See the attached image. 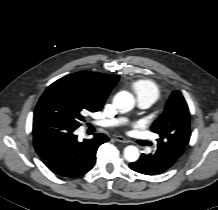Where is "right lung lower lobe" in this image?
<instances>
[{
  "instance_id": "obj_1",
  "label": "right lung lower lobe",
  "mask_w": 218,
  "mask_h": 210,
  "mask_svg": "<svg viewBox=\"0 0 218 210\" xmlns=\"http://www.w3.org/2000/svg\"><path fill=\"white\" fill-rule=\"evenodd\" d=\"M75 127L55 117H35L33 143L44 164L55 174L76 177L91 170L96 161L98 147L108 140L98 133L92 139L77 141Z\"/></svg>"
}]
</instances>
